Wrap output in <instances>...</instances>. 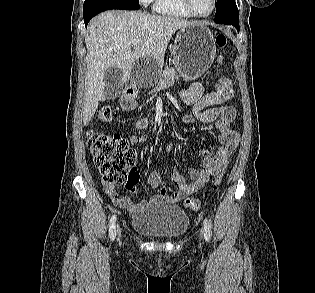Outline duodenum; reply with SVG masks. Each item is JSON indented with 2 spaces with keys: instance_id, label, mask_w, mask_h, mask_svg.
<instances>
[{
  "instance_id": "410a0bca",
  "label": "duodenum",
  "mask_w": 315,
  "mask_h": 293,
  "mask_svg": "<svg viewBox=\"0 0 315 293\" xmlns=\"http://www.w3.org/2000/svg\"><path fill=\"white\" fill-rule=\"evenodd\" d=\"M124 92H134V93H136V89H135V87H133V86H129V87H127V88L124 90Z\"/></svg>"
}]
</instances>
